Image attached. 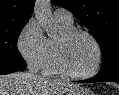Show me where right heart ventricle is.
Returning <instances> with one entry per match:
<instances>
[{
	"instance_id": "1",
	"label": "right heart ventricle",
	"mask_w": 119,
	"mask_h": 95,
	"mask_svg": "<svg viewBox=\"0 0 119 95\" xmlns=\"http://www.w3.org/2000/svg\"><path fill=\"white\" fill-rule=\"evenodd\" d=\"M58 23L61 26V28L63 29V31L73 28V23L72 24H65L62 22H58ZM55 47H56V40L48 39V55H47L46 62L43 66L44 73H46V74L61 73L56 65Z\"/></svg>"
}]
</instances>
